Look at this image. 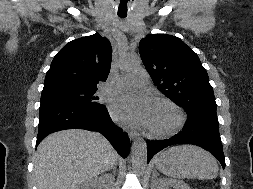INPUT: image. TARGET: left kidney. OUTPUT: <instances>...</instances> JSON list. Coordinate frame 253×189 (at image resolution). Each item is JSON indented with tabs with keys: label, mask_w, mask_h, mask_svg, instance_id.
<instances>
[{
	"label": "left kidney",
	"mask_w": 253,
	"mask_h": 189,
	"mask_svg": "<svg viewBox=\"0 0 253 189\" xmlns=\"http://www.w3.org/2000/svg\"><path fill=\"white\" fill-rule=\"evenodd\" d=\"M171 187L173 189H190V187L181 180L165 178H159L158 180L154 181L151 189H170Z\"/></svg>",
	"instance_id": "5707ae66"
}]
</instances>
